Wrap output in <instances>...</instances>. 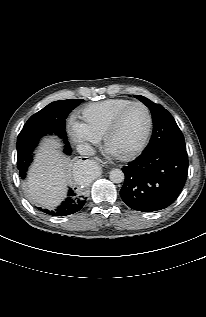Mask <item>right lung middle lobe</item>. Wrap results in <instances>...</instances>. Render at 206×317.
<instances>
[{"instance_id":"dd1d6c3e","label":"right lung middle lobe","mask_w":206,"mask_h":317,"mask_svg":"<svg viewBox=\"0 0 206 317\" xmlns=\"http://www.w3.org/2000/svg\"><path fill=\"white\" fill-rule=\"evenodd\" d=\"M83 99L59 100L32 115L17 138V165L22 179L32 161V152L45 134L55 133L67 141L65 119Z\"/></svg>"}]
</instances>
